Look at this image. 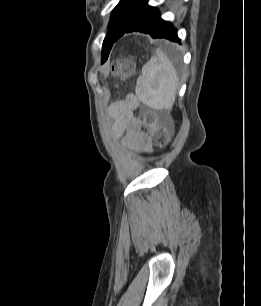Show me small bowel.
<instances>
[{"label": "small bowel", "mask_w": 261, "mask_h": 306, "mask_svg": "<svg viewBox=\"0 0 261 306\" xmlns=\"http://www.w3.org/2000/svg\"><path fill=\"white\" fill-rule=\"evenodd\" d=\"M138 106V99L130 95L125 100L112 106V113L116 117L117 131H126L121 141L123 149L134 153H150L152 145L149 135L142 130L141 121L134 116Z\"/></svg>", "instance_id": "obj_1"}]
</instances>
